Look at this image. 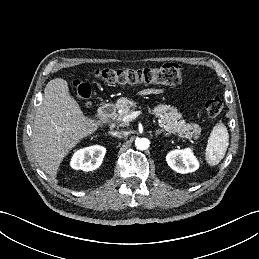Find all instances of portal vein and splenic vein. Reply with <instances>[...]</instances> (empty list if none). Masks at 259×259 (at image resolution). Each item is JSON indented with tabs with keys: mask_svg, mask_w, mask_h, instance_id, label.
Here are the masks:
<instances>
[{
	"mask_svg": "<svg viewBox=\"0 0 259 259\" xmlns=\"http://www.w3.org/2000/svg\"><path fill=\"white\" fill-rule=\"evenodd\" d=\"M141 112L140 111H134L128 115H126L125 117H123L122 121L123 122H130L132 121L133 119H135L136 117H138V115L140 114Z\"/></svg>",
	"mask_w": 259,
	"mask_h": 259,
	"instance_id": "18ae733b",
	"label": "portal vein and splenic vein"
}]
</instances>
